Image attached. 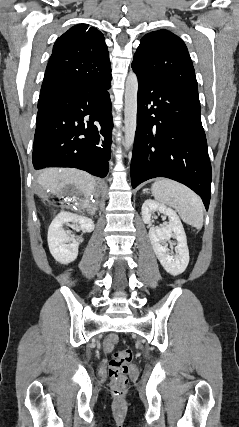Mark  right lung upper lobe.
<instances>
[{"mask_svg":"<svg viewBox=\"0 0 239 427\" xmlns=\"http://www.w3.org/2000/svg\"><path fill=\"white\" fill-rule=\"evenodd\" d=\"M109 75L111 64L103 34L78 24L55 42L40 97L70 84H94Z\"/></svg>","mask_w":239,"mask_h":427,"instance_id":"obj_1","label":"right lung upper lobe"}]
</instances>
